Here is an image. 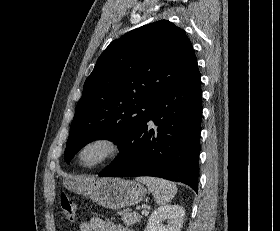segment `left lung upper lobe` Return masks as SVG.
<instances>
[{
    "mask_svg": "<svg viewBox=\"0 0 280 231\" xmlns=\"http://www.w3.org/2000/svg\"><path fill=\"white\" fill-rule=\"evenodd\" d=\"M196 70L190 40L167 20L144 25L112 41L84 83L65 161L69 164L94 140L108 139L120 145L161 95Z\"/></svg>",
    "mask_w": 280,
    "mask_h": 231,
    "instance_id": "left-lung-upper-lobe-1",
    "label": "left lung upper lobe"
}]
</instances>
